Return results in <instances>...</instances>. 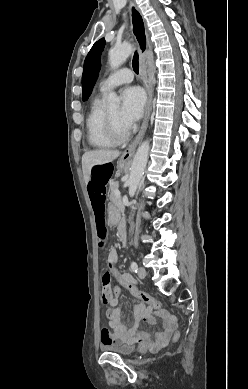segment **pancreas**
<instances>
[{
    "label": "pancreas",
    "instance_id": "cf45deb5",
    "mask_svg": "<svg viewBox=\"0 0 248 389\" xmlns=\"http://www.w3.org/2000/svg\"><path fill=\"white\" fill-rule=\"evenodd\" d=\"M119 184L118 182H111L110 183V201L111 204L117 209V210H122L123 209V204L121 201V197L119 195H116L115 192L118 190Z\"/></svg>",
    "mask_w": 248,
    "mask_h": 389
}]
</instances>
